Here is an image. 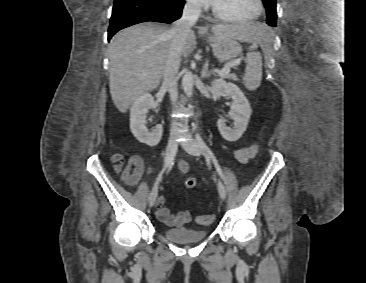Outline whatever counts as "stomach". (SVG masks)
<instances>
[{
	"instance_id": "0dacf381",
	"label": "stomach",
	"mask_w": 366,
	"mask_h": 283,
	"mask_svg": "<svg viewBox=\"0 0 366 283\" xmlns=\"http://www.w3.org/2000/svg\"><path fill=\"white\" fill-rule=\"evenodd\" d=\"M201 34L205 35L206 32ZM208 39L215 57L222 63L237 57L242 51L239 41L234 38L213 33L208 35Z\"/></svg>"
}]
</instances>
